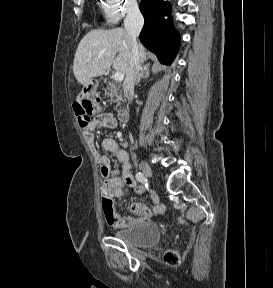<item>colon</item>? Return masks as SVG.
Returning <instances> with one entry per match:
<instances>
[{"label":"colon","instance_id":"1","mask_svg":"<svg viewBox=\"0 0 273 288\" xmlns=\"http://www.w3.org/2000/svg\"><path fill=\"white\" fill-rule=\"evenodd\" d=\"M73 110L79 125L85 128L91 121L90 116L100 112L101 102L99 99L79 98L73 102ZM164 259L171 265H178L180 262V255L175 250H169L165 253Z\"/></svg>","mask_w":273,"mask_h":288}]
</instances>
